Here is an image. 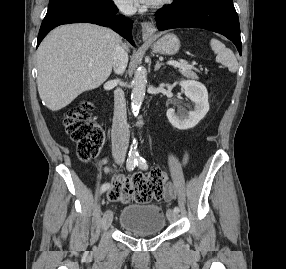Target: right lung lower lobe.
Segmentation results:
<instances>
[{"label": "right lung lower lobe", "mask_w": 286, "mask_h": 269, "mask_svg": "<svg viewBox=\"0 0 286 269\" xmlns=\"http://www.w3.org/2000/svg\"><path fill=\"white\" fill-rule=\"evenodd\" d=\"M117 11L115 5L113 8L105 10L87 3H77L47 12L39 30L37 46L53 28L77 22L109 26L132 45H135L131 33L133 21L124 16H116Z\"/></svg>", "instance_id": "right-lung-lower-lobe-1"}]
</instances>
